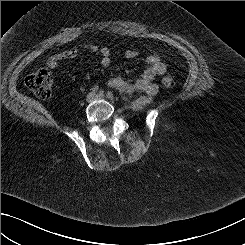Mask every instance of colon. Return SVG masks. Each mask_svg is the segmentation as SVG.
Wrapping results in <instances>:
<instances>
[{"label":"colon","mask_w":245,"mask_h":245,"mask_svg":"<svg viewBox=\"0 0 245 245\" xmlns=\"http://www.w3.org/2000/svg\"><path fill=\"white\" fill-rule=\"evenodd\" d=\"M52 73L46 69H39L29 74L25 79L26 87L40 99H48L52 94ZM165 88H173L176 84L172 75L166 74L161 80Z\"/></svg>","instance_id":"1"}]
</instances>
